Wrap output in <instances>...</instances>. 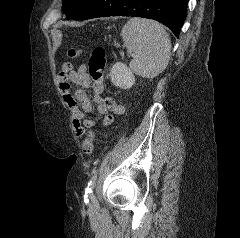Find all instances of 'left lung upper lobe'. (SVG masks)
<instances>
[{
    "label": "left lung upper lobe",
    "instance_id": "obj_1",
    "mask_svg": "<svg viewBox=\"0 0 240 238\" xmlns=\"http://www.w3.org/2000/svg\"><path fill=\"white\" fill-rule=\"evenodd\" d=\"M91 0H63V12L68 19L77 17Z\"/></svg>",
    "mask_w": 240,
    "mask_h": 238
}]
</instances>
